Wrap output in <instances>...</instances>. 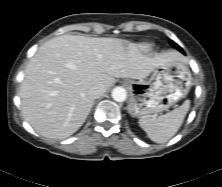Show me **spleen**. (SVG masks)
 <instances>
[{
	"label": "spleen",
	"mask_w": 222,
	"mask_h": 187,
	"mask_svg": "<svg viewBox=\"0 0 222 187\" xmlns=\"http://www.w3.org/2000/svg\"><path fill=\"white\" fill-rule=\"evenodd\" d=\"M189 107L190 101L186 100L180 107L158 118L151 116L141 117L139 119V125L152 141L156 143H165L177 133Z\"/></svg>",
	"instance_id": "obj_1"
}]
</instances>
